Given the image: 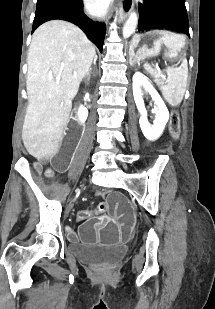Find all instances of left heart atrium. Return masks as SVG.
Segmentation results:
<instances>
[{
    "label": "left heart atrium",
    "instance_id": "1",
    "mask_svg": "<svg viewBox=\"0 0 215 309\" xmlns=\"http://www.w3.org/2000/svg\"><path fill=\"white\" fill-rule=\"evenodd\" d=\"M90 7H92V12H108L111 10V7L103 5L101 0H90Z\"/></svg>",
    "mask_w": 215,
    "mask_h": 309
}]
</instances>
